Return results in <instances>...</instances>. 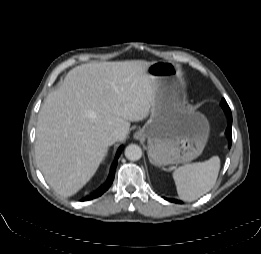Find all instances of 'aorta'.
<instances>
[{
  "label": "aorta",
  "mask_w": 261,
  "mask_h": 254,
  "mask_svg": "<svg viewBox=\"0 0 261 254\" xmlns=\"http://www.w3.org/2000/svg\"><path fill=\"white\" fill-rule=\"evenodd\" d=\"M125 157L131 161H137L142 157V149L136 144H130L125 149Z\"/></svg>",
  "instance_id": "1"
}]
</instances>
